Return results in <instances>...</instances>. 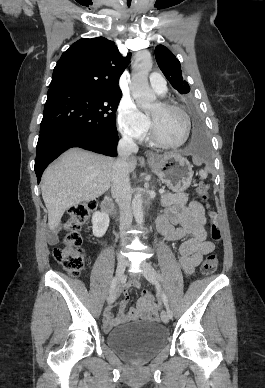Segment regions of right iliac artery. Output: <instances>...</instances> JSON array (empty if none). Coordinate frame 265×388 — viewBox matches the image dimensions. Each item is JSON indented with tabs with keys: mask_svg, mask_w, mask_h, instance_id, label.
I'll use <instances>...</instances> for the list:
<instances>
[{
	"mask_svg": "<svg viewBox=\"0 0 265 388\" xmlns=\"http://www.w3.org/2000/svg\"><path fill=\"white\" fill-rule=\"evenodd\" d=\"M117 278H113L110 285V293H112L116 287Z\"/></svg>",
	"mask_w": 265,
	"mask_h": 388,
	"instance_id": "82829eb1",
	"label": "right iliac artery"
}]
</instances>
